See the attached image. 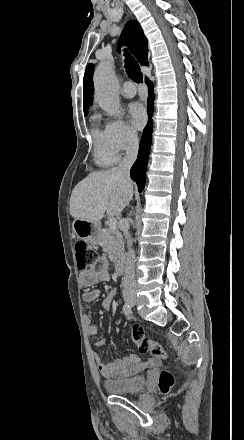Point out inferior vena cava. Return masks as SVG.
Returning a JSON list of instances; mask_svg holds the SVG:
<instances>
[{
  "label": "inferior vena cava",
  "mask_w": 244,
  "mask_h": 440,
  "mask_svg": "<svg viewBox=\"0 0 244 440\" xmlns=\"http://www.w3.org/2000/svg\"><path fill=\"white\" fill-rule=\"evenodd\" d=\"M139 150V140L137 134H133L128 142V150L126 156L119 164V172L122 174L123 182L128 186L130 184V168L133 166ZM129 226H125L123 234L125 238H129ZM136 294V280H135V252L132 248L128 250L127 262L125 266L124 282H123V296H130Z\"/></svg>",
  "instance_id": "1"
}]
</instances>
